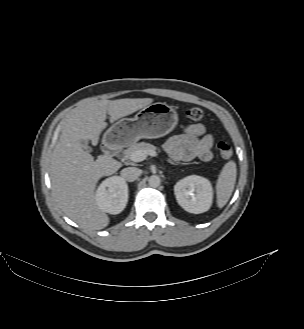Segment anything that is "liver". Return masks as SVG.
I'll use <instances>...</instances> for the list:
<instances>
[{"mask_svg":"<svg viewBox=\"0 0 304 329\" xmlns=\"http://www.w3.org/2000/svg\"><path fill=\"white\" fill-rule=\"evenodd\" d=\"M152 102V98L92 101L79 108L62 130L52 154L50 178L60 208L81 227L100 230L109 224L108 215L96 203L95 187L101 177L114 174L121 163L107 155L94 160L80 140L97 145L107 127V114L113 123Z\"/></svg>","mask_w":304,"mask_h":329,"instance_id":"1","label":"liver"}]
</instances>
